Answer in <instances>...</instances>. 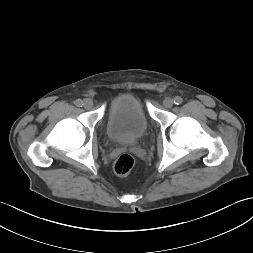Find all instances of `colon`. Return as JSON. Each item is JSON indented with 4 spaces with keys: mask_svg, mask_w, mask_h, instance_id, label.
<instances>
[{
    "mask_svg": "<svg viewBox=\"0 0 253 253\" xmlns=\"http://www.w3.org/2000/svg\"><path fill=\"white\" fill-rule=\"evenodd\" d=\"M135 165V159L130 154L120 155L114 162V172L121 177L128 176Z\"/></svg>",
    "mask_w": 253,
    "mask_h": 253,
    "instance_id": "1",
    "label": "colon"
}]
</instances>
